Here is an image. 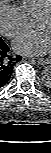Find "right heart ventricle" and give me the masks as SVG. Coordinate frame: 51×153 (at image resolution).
<instances>
[{"instance_id": "e07e8e85", "label": "right heart ventricle", "mask_w": 51, "mask_h": 153, "mask_svg": "<svg viewBox=\"0 0 51 153\" xmlns=\"http://www.w3.org/2000/svg\"><path fill=\"white\" fill-rule=\"evenodd\" d=\"M51 5V0H20V8L27 18L35 16Z\"/></svg>"}]
</instances>
